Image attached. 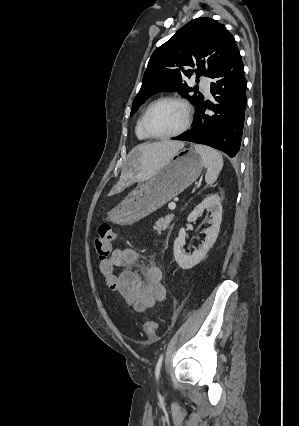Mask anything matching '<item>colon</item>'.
<instances>
[{"mask_svg":"<svg viewBox=\"0 0 299 426\" xmlns=\"http://www.w3.org/2000/svg\"><path fill=\"white\" fill-rule=\"evenodd\" d=\"M114 240L115 235L112 227L107 223L101 224L94 239V248L99 258V269L105 279L106 285L110 289L118 291V277L109 261V256L112 253ZM145 333L149 339L155 340L157 338L156 322H147L145 324Z\"/></svg>","mask_w":299,"mask_h":426,"instance_id":"1","label":"colon"}]
</instances>
